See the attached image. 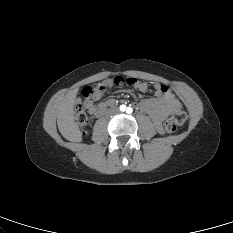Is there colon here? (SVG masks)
Instances as JSON below:
<instances>
[{
	"mask_svg": "<svg viewBox=\"0 0 233 233\" xmlns=\"http://www.w3.org/2000/svg\"><path fill=\"white\" fill-rule=\"evenodd\" d=\"M136 82L135 78L115 77L109 82L103 83L95 88L86 87L82 91V98L77 100L75 108V118L82 128V132L86 133V126L88 124L87 111L90 110L93 103L99 99L109 86L124 87L133 86ZM187 119V114L178 110L174 112L165 122L164 129L168 133L175 132L182 126Z\"/></svg>",
	"mask_w": 233,
	"mask_h": 233,
	"instance_id": "obj_1",
	"label": "colon"
}]
</instances>
